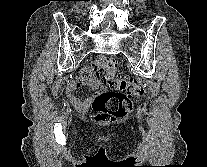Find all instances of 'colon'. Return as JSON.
Returning <instances> with one entry per match:
<instances>
[{
  "label": "colon",
  "mask_w": 207,
  "mask_h": 167,
  "mask_svg": "<svg viewBox=\"0 0 207 167\" xmlns=\"http://www.w3.org/2000/svg\"><path fill=\"white\" fill-rule=\"evenodd\" d=\"M116 66L115 60L108 59L93 68L105 86L92 104L94 118L100 122H114L128 116L132 111V98L143 92V87L137 81L118 76Z\"/></svg>",
  "instance_id": "colon-1"
}]
</instances>
